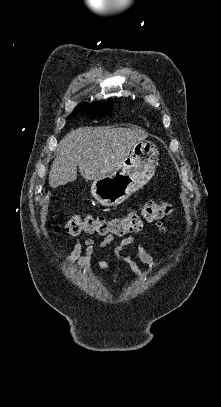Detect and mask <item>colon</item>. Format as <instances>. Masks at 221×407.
I'll return each instance as SVG.
<instances>
[{"label":"colon","instance_id":"1","mask_svg":"<svg viewBox=\"0 0 221 407\" xmlns=\"http://www.w3.org/2000/svg\"><path fill=\"white\" fill-rule=\"evenodd\" d=\"M171 211L172 205L169 201H152L145 204L140 212H129L123 217L108 219L101 216H87L81 218L74 215L64 224V229L72 236L82 233L124 236L142 231L145 221H156L167 216ZM56 230H60V227H57Z\"/></svg>","mask_w":221,"mask_h":407}]
</instances>
